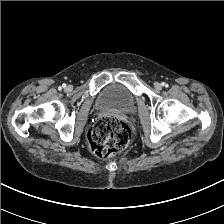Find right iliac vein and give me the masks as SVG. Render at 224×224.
I'll return each instance as SVG.
<instances>
[{
	"label": "right iliac vein",
	"mask_w": 224,
	"mask_h": 224,
	"mask_svg": "<svg viewBox=\"0 0 224 224\" xmlns=\"http://www.w3.org/2000/svg\"><path fill=\"white\" fill-rule=\"evenodd\" d=\"M70 89H71V86H68V87H67V90H70Z\"/></svg>",
	"instance_id": "1"
}]
</instances>
